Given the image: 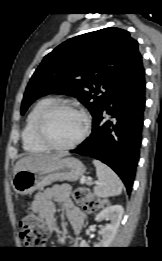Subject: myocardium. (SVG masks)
<instances>
[{
  "mask_svg": "<svg viewBox=\"0 0 162 261\" xmlns=\"http://www.w3.org/2000/svg\"><path fill=\"white\" fill-rule=\"evenodd\" d=\"M61 109H69L73 110L77 113H79L82 118H83V130L81 134L71 143L65 144V145H58L53 143L47 136L46 132V125L51 117V115ZM90 127H91V120L88 115V113L82 109L81 107L68 102V101H58V102H53L50 106H48L40 115L37 125H36V136L39 141V143L44 146L48 150L52 151H66L73 149L80 145L88 136L90 132Z\"/></svg>",
  "mask_w": 162,
  "mask_h": 261,
  "instance_id": "obj_1",
  "label": "myocardium"
}]
</instances>
